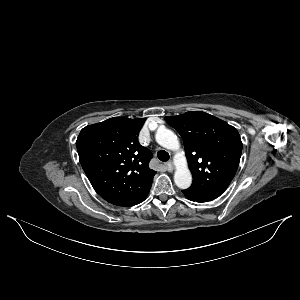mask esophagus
Instances as JSON below:
<instances>
[{"label":"esophagus","mask_w":300,"mask_h":300,"mask_svg":"<svg viewBox=\"0 0 300 300\" xmlns=\"http://www.w3.org/2000/svg\"><path fill=\"white\" fill-rule=\"evenodd\" d=\"M165 167L168 171H172L173 170V163L171 161L165 163Z\"/></svg>","instance_id":"esophagus-1"}]
</instances>
